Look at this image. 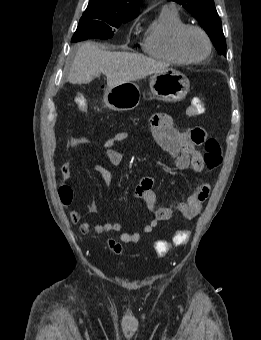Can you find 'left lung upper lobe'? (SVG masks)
<instances>
[{"label":"left lung upper lobe","instance_id":"obj_1","mask_svg":"<svg viewBox=\"0 0 261 340\" xmlns=\"http://www.w3.org/2000/svg\"><path fill=\"white\" fill-rule=\"evenodd\" d=\"M182 5L207 32L220 55L226 56V40L223 34L221 19L213 0H172Z\"/></svg>","mask_w":261,"mask_h":340}]
</instances>
